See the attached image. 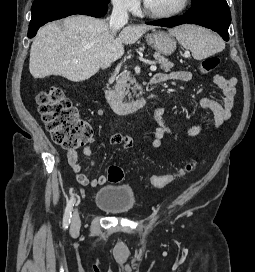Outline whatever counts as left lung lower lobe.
<instances>
[{
  "label": "left lung lower lobe",
  "mask_w": 255,
  "mask_h": 272,
  "mask_svg": "<svg viewBox=\"0 0 255 272\" xmlns=\"http://www.w3.org/2000/svg\"><path fill=\"white\" fill-rule=\"evenodd\" d=\"M230 22L231 13L226 0H196L183 16L147 22V24L165 27L184 23L197 24L216 31L225 41H228Z\"/></svg>",
  "instance_id": "1"
}]
</instances>
